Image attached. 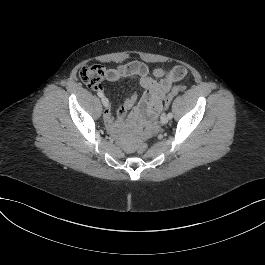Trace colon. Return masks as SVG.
<instances>
[{
	"label": "colon",
	"mask_w": 265,
	"mask_h": 265,
	"mask_svg": "<svg viewBox=\"0 0 265 265\" xmlns=\"http://www.w3.org/2000/svg\"><path fill=\"white\" fill-rule=\"evenodd\" d=\"M79 76L83 82L92 86L96 84L103 76L102 67L99 65H88L81 68ZM183 90V87H175L166 96L164 101V108H168L173 100V98ZM147 150V145L145 143H138L136 146V151L143 154Z\"/></svg>",
	"instance_id": "5ec220e1"
}]
</instances>
